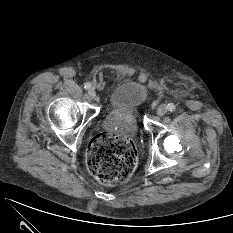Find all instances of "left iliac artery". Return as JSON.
Wrapping results in <instances>:
<instances>
[{
  "label": "left iliac artery",
  "mask_w": 233,
  "mask_h": 233,
  "mask_svg": "<svg viewBox=\"0 0 233 233\" xmlns=\"http://www.w3.org/2000/svg\"><path fill=\"white\" fill-rule=\"evenodd\" d=\"M167 109H168L169 111L173 112V111H175L176 106H175L173 103H169V104L167 105Z\"/></svg>",
  "instance_id": "obj_1"
}]
</instances>
